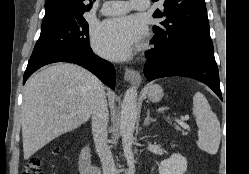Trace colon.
<instances>
[{"instance_id":"obj_1","label":"colon","mask_w":249,"mask_h":174,"mask_svg":"<svg viewBox=\"0 0 249 174\" xmlns=\"http://www.w3.org/2000/svg\"><path fill=\"white\" fill-rule=\"evenodd\" d=\"M22 174H43L42 159L38 156L31 157L27 161Z\"/></svg>"}]
</instances>
